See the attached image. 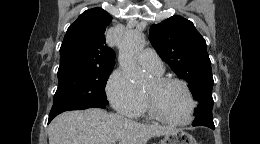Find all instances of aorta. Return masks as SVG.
<instances>
[{
	"label": "aorta",
	"mask_w": 260,
	"mask_h": 144,
	"mask_svg": "<svg viewBox=\"0 0 260 144\" xmlns=\"http://www.w3.org/2000/svg\"><path fill=\"white\" fill-rule=\"evenodd\" d=\"M143 46V34L137 30L124 32L119 42V66L124 75L134 84L142 83L146 77L138 65V56Z\"/></svg>",
	"instance_id": "aorta-1"
}]
</instances>
